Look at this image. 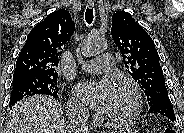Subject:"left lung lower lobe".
Masks as SVG:
<instances>
[{
    "instance_id": "obj_1",
    "label": "left lung lower lobe",
    "mask_w": 184,
    "mask_h": 133,
    "mask_svg": "<svg viewBox=\"0 0 184 133\" xmlns=\"http://www.w3.org/2000/svg\"><path fill=\"white\" fill-rule=\"evenodd\" d=\"M149 113L161 114L171 121L175 122L176 118L174 115L173 106L170 101H160L150 106Z\"/></svg>"
}]
</instances>
